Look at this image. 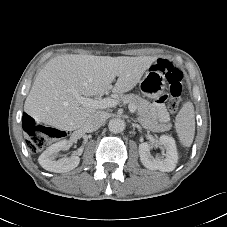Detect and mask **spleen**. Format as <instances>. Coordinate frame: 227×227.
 Here are the masks:
<instances>
[{"mask_svg": "<svg viewBox=\"0 0 227 227\" xmlns=\"http://www.w3.org/2000/svg\"><path fill=\"white\" fill-rule=\"evenodd\" d=\"M175 128L178 138L184 147H190L195 135V112L193 103L183 104L176 116Z\"/></svg>", "mask_w": 227, "mask_h": 227, "instance_id": "1", "label": "spleen"}]
</instances>
